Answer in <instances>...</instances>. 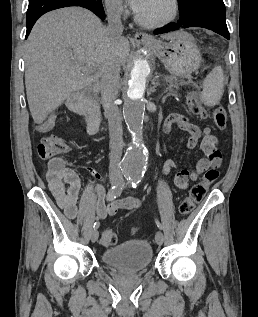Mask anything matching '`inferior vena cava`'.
Wrapping results in <instances>:
<instances>
[{"label":"inferior vena cava","instance_id":"inferior-vena-cava-1","mask_svg":"<svg viewBox=\"0 0 258 317\" xmlns=\"http://www.w3.org/2000/svg\"><path fill=\"white\" fill-rule=\"evenodd\" d=\"M106 10L108 16V38L110 44H115L117 38H120L123 32L119 10H117L112 0H107ZM101 94L102 104L106 110L109 122L110 134V180L116 181L123 178L120 171V159L123 144L122 116L114 100L118 94V84L120 82V64L116 62L115 56H109L104 60L101 68Z\"/></svg>","mask_w":258,"mask_h":317}]
</instances>
